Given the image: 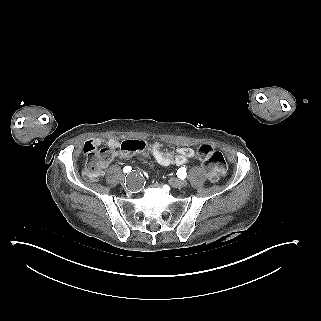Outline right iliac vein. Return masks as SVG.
Listing matches in <instances>:
<instances>
[{"instance_id": "63e3f726", "label": "right iliac vein", "mask_w": 321, "mask_h": 321, "mask_svg": "<svg viewBox=\"0 0 321 321\" xmlns=\"http://www.w3.org/2000/svg\"><path fill=\"white\" fill-rule=\"evenodd\" d=\"M124 182H125V179H124V176L122 175V176H120V183L123 185Z\"/></svg>"}]
</instances>
